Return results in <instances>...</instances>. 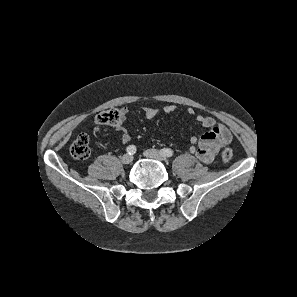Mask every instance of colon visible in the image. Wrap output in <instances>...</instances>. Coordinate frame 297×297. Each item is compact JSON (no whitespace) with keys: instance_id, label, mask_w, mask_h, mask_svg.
<instances>
[{"instance_id":"1","label":"colon","mask_w":297,"mask_h":297,"mask_svg":"<svg viewBox=\"0 0 297 297\" xmlns=\"http://www.w3.org/2000/svg\"><path fill=\"white\" fill-rule=\"evenodd\" d=\"M96 122L101 125L116 126L121 122L120 110L110 109L103 111L96 116ZM70 153L73 158L78 160H84L90 156L91 148L89 138L86 134L77 136L70 146ZM232 156L233 152L230 148H225L220 154L221 161L224 164L229 163Z\"/></svg>"}]
</instances>
